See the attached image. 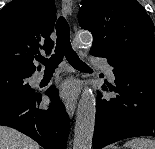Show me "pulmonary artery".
Wrapping results in <instances>:
<instances>
[{"mask_svg":"<svg viewBox=\"0 0 155 149\" xmlns=\"http://www.w3.org/2000/svg\"><path fill=\"white\" fill-rule=\"evenodd\" d=\"M89 61L93 65L100 66L108 74V76L112 80H114V74H113L112 68L109 65V63L107 62V60L91 56V57H89ZM42 79H43V73L38 72L35 74V76H34L35 82H40Z\"/></svg>","mask_w":155,"mask_h":149,"instance_id":"1","label":"pulmonary artery"}]
</instances>
